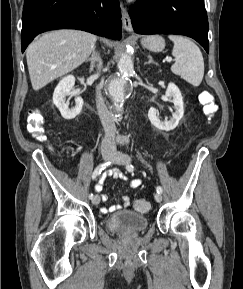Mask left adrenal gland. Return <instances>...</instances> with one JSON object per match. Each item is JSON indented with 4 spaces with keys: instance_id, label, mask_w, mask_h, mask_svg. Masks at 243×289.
<instances>
[{
    "instance_id": "1",
    "label": "left adrenal gland",
    "mask_w": 243,
    "mask_h": 289,
    "mask_svg": "<svg viewBox=\"0 0 243 289\" xmlns=\"http://www.w3.org/2000/svg\"><path fill=\"white\" fill-rule=\"evenodd\" d=\"M150 63L156 64V62L153 60L152 56L148 55V62H146L145 64H150Z\"/></svg>"
}]
</instances>
